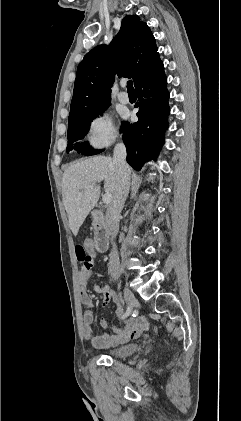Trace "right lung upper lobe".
I'll list each match as a JSON object with an SVG mask.
<instances>
[{
    "label": "right lung upper lobe",
    "instance_id": "cb5924a9",
    "mask_svg": "<svg viewBox=\"0 0 241 421\" xmlns=\"http://www.w3.org/2000/svg\"><path fill=\"white\" fill-rule=\"evenodd\" d=\"M157 50L146 23L136 15H127L111 44L93 48L79 64L69 120L107 108L115 73L132 77L135 85L159 58Z\"/></svg>",
    "mask_w": 241,
    "mask_h": 421
}]
</instances>
